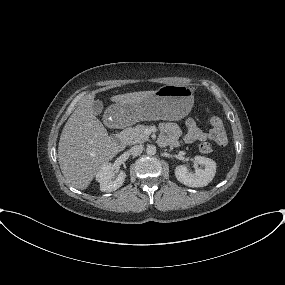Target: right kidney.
Wrapping results in <instances>:
<instances>
[{
    "label": "right kidney",
    "mask_w": 285,
    "mask_h": 285,
    "mask_svg": "<svg viewBox=\"0 0 285 285\" xmlns=\"http://www.w3.org/2000/svg\"><path fill=\"white\" fill-rule=\"evenodd\" d=\"M126 173L121 171L114 179V168L111 163L103 164L96 174V180L100 184V191L112 192L119 189L125 182Z\"/></svg>",
    "instance_id": "right-kidney-1"
}]
</instances>
